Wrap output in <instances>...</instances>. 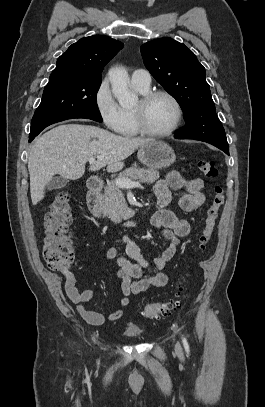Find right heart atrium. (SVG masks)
Here are the masks:
<instances>
[{"label": "right heart atrium", "instance_id": "obj_1", "mask_svg": "<svg viewBox=\"0 0 265 407\" xmlns=\"http://www.w3.org/2000/svg\"><path fill=\"white\" fill-rule=\"evenodd\" d=\"M94 104L104 125L112 131H117L122 122V112L107 80H103L96 88Z\"/></svg>", "mask_w": 265, "mask_h": 407}]
</instances>
